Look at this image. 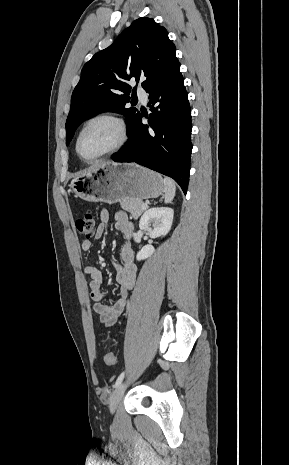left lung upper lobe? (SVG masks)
Here are the masks:
<instances>
[{"label":"left lung upper lobe","instance_id":"obj_1","mask_svg":"<svg viewBox=\"0 0 289 465\" xmlns=\"http://www.w3.org/2000/svg\"><path fill=\"white\" fill-rule=\"evenodd\" d=\"M175 53L164 27L147 17L135 20L112 45L84 65L71 98L66 144L86 118L100 112L125 115L129 120L128 133L140 112L125 107L132 103L129 96L132 89L127 81L143 80L144 89L155 85L180 66Z\"/></svg>","mask_w":289,"mask_h":465}]
</instances>
